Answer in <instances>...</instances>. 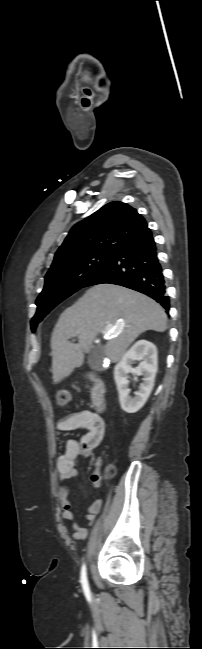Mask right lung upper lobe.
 I'll return each instance as SVG.
<instances>
[{"instance_id": "right-lung-upper-lobe-1", "label": "right lung upper lobe", "mask_w": 202, "mask_h": 649, "mask_svg": "<svg viewBox=\"0 0 202 649\" xmlns=\"http://www.w3.org/2000/svg\"><path fill=\"white\" fill-rule=\"evenodd\" d=\"M149 231L145 219L136 209L120 201L110 202L73 226L56 252L51 267L89 251L117 253Z\"/></svg>"}]
</instances>
